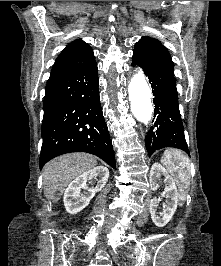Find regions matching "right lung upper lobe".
Masks as SVG:
<instances>
[{
	"label": "right lung upper lobe",
	"mask_w": 221,
	"mask_h": 266,
	"mask_svg": "<svg viewBox=\"0 0 221 266\" xmlns=\"http://www.w3.org/2000/svg\"><path fill=\"white\" fill-rule=\"evenodd\" d=\"M95 60L88 43L78 39L68 44L55 60L48 81L79 70Z\"/></svg>",
	"instance_id": "1"
}]
</instances>
